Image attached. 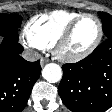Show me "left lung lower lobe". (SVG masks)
<instances>
[{
    "label": "left lung lower lobe",
    "mask_w": 112,
    "mask_h": 112,
    "mask_svg": "<svg viewBox=\"0 0 112 112\" xmlns=\"http://www.w3.org/2000/svg\"><path fill=\"white\" fill-rule=\"evenodd\" d=\"M62 69L58 92L72 112H104L112 106V37L85 59Z\"/></svg>",
    "instance_id": "left-lung-lower-lobe-1"
}]
</instances>
